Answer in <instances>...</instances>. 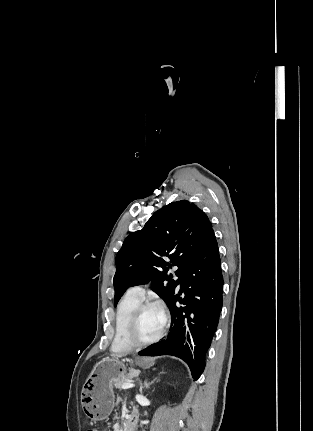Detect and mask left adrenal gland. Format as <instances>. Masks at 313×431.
<instances>
[{
    "label": "left adrenal gland",
    "mask_w": 313,
    "mask_h": 431,
    "mask_svg": "<svg viewBox=\"0 0 313 431\" xmlns=\"http://www.w3.org/2000/svg\"><path fill=\"white\" fill-rule=\"evenodd\" d=\"M156 380H157V378H155L151 383H148L147 381H145V382H144V387H145L146 389H149L150 385H151L152 383H154Z\"/></svg>",
    "instance_id": "obj_1"
}]
</instances>
